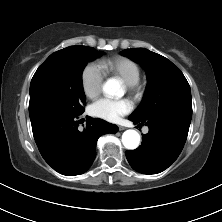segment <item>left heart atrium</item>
<instances>
[{
    "label": "left heart atrium",
    "mask_w": 222,
    "mask_h": 222,
    "mask_svg": "<svg viewBox=\"0 0 222 222\" xmlns=\"http://www.w3.org/2000/svg\"><path fill=\"white\" fill-rule=\"evenodd\" d=\"M133 104L129 99L114 100L110 98H100L90 106L93 116L116 122L121 116L131 112Z\"/></svg>",
    "instance_id": "1"
}]
</instances>
